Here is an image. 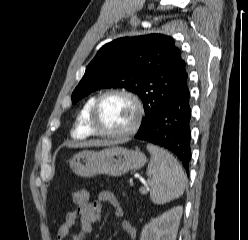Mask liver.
Returning <instances> with one entry per match:
<instances>
[{
    "label": "liver",
    "mask_w": 248,
    "mask_h": 240,
    "mask_svg": "<svg viewBox=\"0 0 248 240\" xmlns=\"http://www.w3.org/2000/svg\"><path fill=\"white\" fill-rule=\"evenodd\" d=\"M108 142L104 141H90L88 143H84V146H101V145H106Z\"/></svg>",
    "instance_id": "liver-1"
}]
</instances>
